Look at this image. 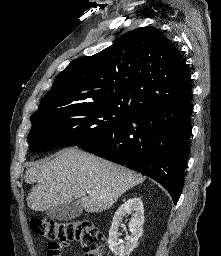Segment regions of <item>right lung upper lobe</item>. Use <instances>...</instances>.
I'll return each mask as SVG.
<instances>
[{"label": "right lung upper lobe", "instance_id": "obj_1", "mask_svg": "<svg viewBox=\"0 0 221 256\" xmlns=\"http://www.w3.org/2000/svg\"><path fill=\"white\" fill-rule=\"evenodd\" d=\"M190 96L180 52L164 33L147 26L123 34L95 55L73 60L33 115L94 103L126 107L137 114Z\"/></svg>", "mask_w": 221, "mask_h": 256}]
</instances>
